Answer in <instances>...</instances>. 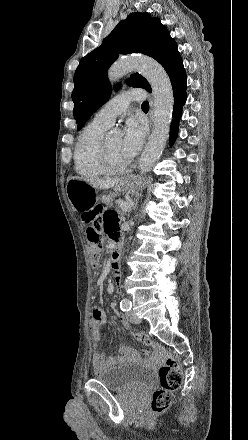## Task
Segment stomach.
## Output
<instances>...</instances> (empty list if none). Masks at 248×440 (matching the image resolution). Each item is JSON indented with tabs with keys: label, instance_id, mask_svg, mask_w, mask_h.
Wrapping results in <instances>:
<instances>
[{
	"label": "stomach",
	"instance_id": "stomach-1",
	"mask_svg": "<svg viewBox=\"0 0 248 440\" xmlns=\"http://www.w3.org/2000/svg\"><path fill=\"white\" fill-rule=\"evenodd\" d=\"M143 186V182L132 176L125 177L119 184V187L127 195L136 193ZM67 194L73 209L76 211H82L86 208V198H89V202L91 203L97 198L94 187L79 179H70L68 181Z\"/></svg>",
	"mask_w": 248,
	"mask_h": 440
}]
</instances>
